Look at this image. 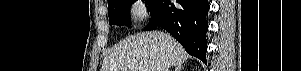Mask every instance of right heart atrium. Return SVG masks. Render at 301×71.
<instances>
[{"mask_svg": "<svg viewBox=\"0 0 301 71\" xmlns=\"http://www.w3.org/2000/svg\"><path fill=\"white\" fill-rule=\"evenodd\" d=\"M130 16L135 21L144 20L147 16L145 5L142 2L135 3L130 10Z\"/></svg>", "mask_w": 301, "mask_h": 71, "instance_id": "1", "label": "right heart atrium"}]
</instances>
